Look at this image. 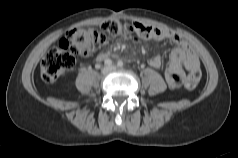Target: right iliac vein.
Returning <instances> with one entry per match:
<instances>
[{
    "label": "right iliac vein",
    "instance_id": "obj_1",
    "mask_svg": "<svg viewBox=\"0 0 238 158\" xmlns=\"http://www.w3.org/2000/svg\"><path fill=\"white\" fill-rule=\"evenodd\" d=\"M108 71H109V68L108 67H104L103 70H102V73L106 74V73H108Z\"/></svg>",
    "mask_w": 238,
    "mask_h": 158
}]
</instances>
